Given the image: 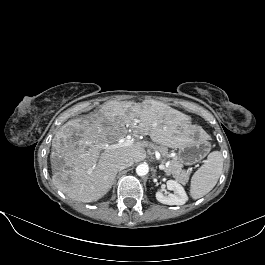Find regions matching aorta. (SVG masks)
Listing matches in <instances>:
<instances>
[{
	"mask_svg": "<svg viewBox=\"0 0 265 265\" xmlns=\"http://www.w3.org/2000/svg\"><path fill=\"white\" fill-rule=\"evenodd\" d=\"M149 172V167L147 164H140L136 168V173L138 176H145Z\"/></svg>",
	"mask_w": 265,
	"mask_h": 265,
	"instance_id": "762f6f07",
	"label": "aorta"
}]
</instances>
